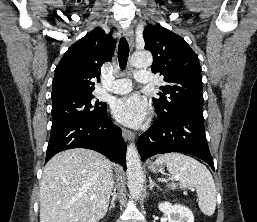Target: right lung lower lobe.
Instances as JSON below:
<instances>
[{"label": "right lung lower lobe", "instance_id": "obj_1", "mask_svg": "<svg viewBox=\"0 0 257 222\" xmlns=\"http://www.w3.org/2000/svg\"><path fill=\"white\" fill-rule=\"evenodd\" d=\"M72 148L97 151L126 169V144L121 129L107 117V112L94 121L72 120L52 127L46 162L58 152Z\"/></svg>", "mask_w": 257, "mask_h": 222}]
</instances>
